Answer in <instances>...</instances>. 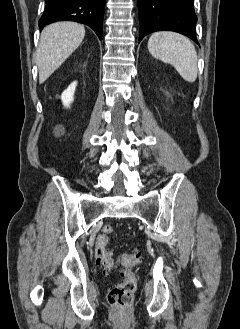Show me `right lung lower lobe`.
Instances as JSON below:
<instances>
[{
    "label": "right lung lower lobe",
    "instance_id": "obj_1",
    "mask_svg": "<svg viewBox=\"0 0 240 329\" xmlns=\"http://www.w3.org/2000/svg\"><path fill=\"white\" fill-rule=\"evenodd\" d=\"M45 11L39 28L57 21H75L91 27L102 37L105 0H45Z\"/></svg>",
    "mask_w": 240,
    "mask_h": 329
}]
</instances>
